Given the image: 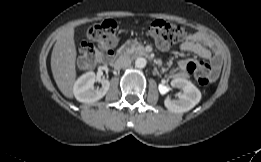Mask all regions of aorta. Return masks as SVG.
<instances>
[{
    "instance_id": "762f6f07",
    "label": "aorta",
    "mask_w": 261,
    "mask_h": 162,
    "mask_svg": "<svg viewBox=\"0 0 261 162\" xmlns=\"http://www.w3.org/2000/svg\"><path fill=\"white\" fill-rule=\"evenodd\" d=\"M146 64H147V61L143 57H139L135 60V67H137V68H140V69L144 68L146 66Z\"/></svg>"
}]
</instances>
